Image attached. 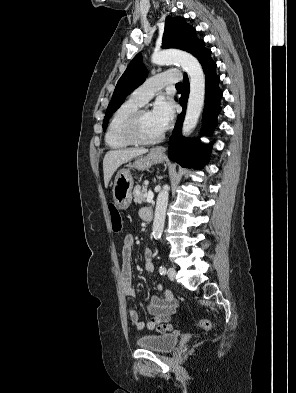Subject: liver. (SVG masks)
I'll return each instance as SVG.
<instances>
[{"mask_svg":"<svg viewBox=\"0 0 296 393\" xmlns=\"http://www.w3.org/2000/svg\"><path fill=\"white\" fill-rule=\"evenodd\" d=\"M148 152L145 148L120 149L108 151L103 159L104 184L108 187L114 172L124 163Z\"/></svg>","mask_w":296,"mask_h":393,"instance_id":"6515ba94","label":"liver"}]
</instances>
